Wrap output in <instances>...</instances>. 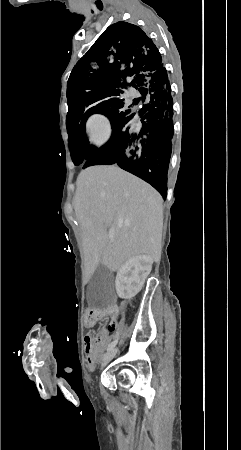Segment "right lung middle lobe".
<instances>
[{
	"label": "right lung middle lobe",
	"mask_w": 241,
	"mask_h": 450,
	"mask_svg": "<svg viewBox=\"0 0 241 450\" xmlns=\"http://www.w3.org/2000/svg\"><path fill=\"white\" fill-rule=\"evenodd\" d=\"M123 92L116 88L96 86L70 74L67 84L68 113L66 117L67 130L71 124L83 117L87 119L90 115L100 113L107 116L111 122L112 129L121 123L136 120L143 108L137 112V106L141 98H134L132 102L124 97ZM143 102V101H142ZM144 106V105H143ZM75 165L84 163L87 158L84 155L71 152Z\"/></svg>",
	"instance_id": "1"
}]
</instances>
